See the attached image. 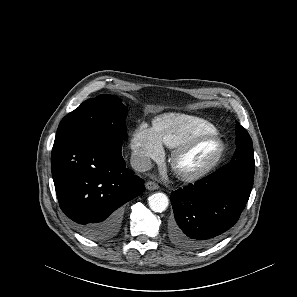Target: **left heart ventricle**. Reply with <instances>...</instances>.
<instances>
[{
	"instance_id": "b2bd125f",
	"label": "left heart ventricle",
	"mask_w": 297,
	"mask_h": 297,
	"mask_svg": "<svg viewBox=\"0 0 297 297\" xmlns=\"http://www.w3.org/2000/svg\"><path fill=\"white\" fill-rule=\"evenodd\" d=\"M216 150V143L212 139L200 142L194 149L181 159V166L184 169L192 170L205 164Z\"/></svg>"
}]
</instances>
